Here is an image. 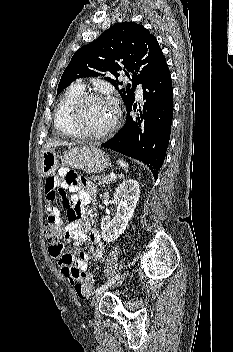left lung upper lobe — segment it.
I'll list each match as a JSON object with an SVG mask.
<instances>
[{
	"instance_id": "1",
	"label": "left lung upper lobe",
	"mask_w": 233,
	"mask_h": 352,
	"mask_svg": "<svg viewBox=\"0 0 233 352\" xmlns=\"http://www.w3.org/2000/svg\"><path fill=\"white\" fill-rule=\"evenodd\" d=\"M165 64L162 50L149 30L134 22L116 23L74 53L62 74L57 95L77 78L104 76L101 72L118 78L125 71L132 83L125 89H119L121 82L105 79L115 86L127 107L135 99L136 86L154 77Z\"/></svg>"
}]
</instances>
